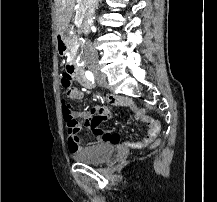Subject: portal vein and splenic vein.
<instances>
[{"mask_svg":"<svg viewBox=\"0 0 217 202\" xmlns=\"http://www.w3.org/2000/svg\"><path fill=\"white\" fill-rule=\"evenodd\" d=\"M77 2H81V0H77Z\"/></svg>","mask_w":217,"mask_h":202,"instance_id":"1","label":"portal vein and splenic vein"}]
</instances>
